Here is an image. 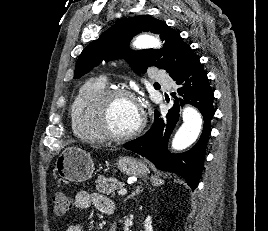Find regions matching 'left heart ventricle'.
Instances as JSON below:
<instances>
[{"instance_id":"obj_1","label":"left heart ventricle","mask_w":268,"mask_h":231,"mask_svg":"<svg viewBox=\"0 0 268 231\" xmlns=\"http://www.w3.org/2000/svg\"><path fill=\"white\" fill-rule=\"evenodd\" d=\"M140 119V109L132 99L119 97L111 102L108 120L110 128L114 132H130L138 126Z\"/></svg>"}]
</instances>
